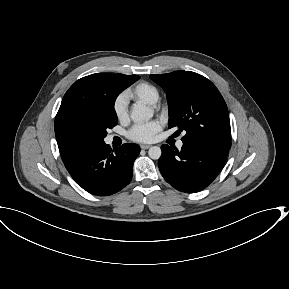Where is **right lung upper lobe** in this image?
Wrapping results in <instances>:
<instances>
[{
  "instance_id": "cb5924a9",
  "label": "right lung upper lobe",
  "mask_w": 289,
  "mask_h": 289,
  "mask_svg": "<svg viewBox=\"0 0 289 289\" xmlns=\"http://www.w3.org/2000/svg\"><path fill=\"white\" fill-rule=\"evenodd\" d=\"M121 74L99 73L77 80L64 95L55 118V135L65 166L72 165L79 158L67 151L61 140V130L65 122L75 115L91 112L97 103V98L108 85Z\"/></svg>"
}]
</instances>
